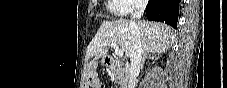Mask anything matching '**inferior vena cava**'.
Masks as SVG:
<instances>
[{
  "instance_id": "1",
  "label": "inferior vena cava",
  "mask_w": 227,
  "mask_h": 88,
  "mask_svg": "<svg viewBox=\"0 0 227 88\" xmlns=\"http://www.w3.org/2000/svg\"><path fill=\"white\" fill-rule=\"evenodd\" d=\"M147 0L138 2L135 5V11L131 14L129 22L131 32V50H130V69H129V88H134L135 77L140 72L141 60L143 55V47L141 44V36L135 25V19H140L145 11Z\"/></svg>"
}]
</instances>
